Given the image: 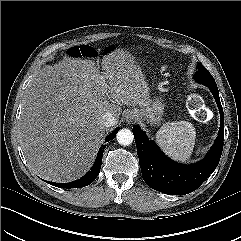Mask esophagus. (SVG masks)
I'll list each match as a JSON object with an SVG mask.
<instances>
[{
    "label": "esophagus",
    "instance_id": "1",
    "mask_svg": "<svg viewBox=\"0 0 241 241\" xmlns=\"http://www.w3.org/2000/svg\"><path fill=\"white\" fill-rule=\"evenodd\" d=\"M135 120H136L135 115H130V116L127 118V121H128L129 123H133Z\"/></svg>",
    "mask_w": 241,
    "mask_h": 241
}]
</instances>
